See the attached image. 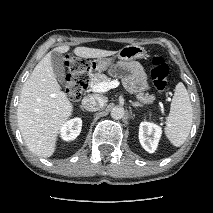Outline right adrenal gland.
Wrapping results in <instances>:
<instances>
[{"instance_id":"1","label":"right adrenal gland","mask_w":213,"mask_h":213,"mask_svg":"<svg viewBox=\"0 0 213 213\" xmlns=\"http://www.w3.org/2000/svg\"><path fill=\"white\" fill-rule=\"evenodd\" d=\"M80 108H81V110H82L83 112H87V111L83 108V106H80Z\"/></svg>"}]
</instances>
